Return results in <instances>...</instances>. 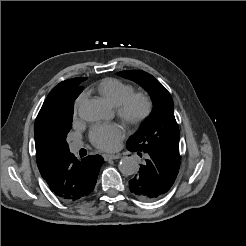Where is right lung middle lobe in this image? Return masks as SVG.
<instances>
[{
  "mask_svg": "<svg viewBox=\"0 0 246 246\" xmlns=\"http://www.w3.org/2000/svg\"><path fill=\"white\" fill-rule=\"evenodd\" d=\"M77 97L69 98L62 107L60 108L56 121H55V134L59 142L66 147H68V143L66 141L67 134L71 129V123L73 119V108H74V99Z\"/></svg>",
  "mask_w": 246,
  "mask_h": 246,
  "instance_id": "right-lung-middle-lobe-1",
  "label": "right lung middle lobe"
}]
</instances>
